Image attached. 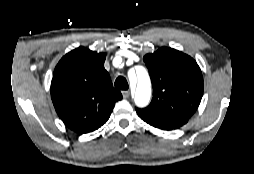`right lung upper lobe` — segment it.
<instances>
[{
	"mask_svg": "<svg viewBox=\"0 0 254 174\" xmlns=\"http://www.w3.org/2000/svg\"><path fill=\"white\" fill-rule=\"evenodd\" d=\"M106 55L79 47L57 64L51 82V98L61 120L84 134L96 130L110 117L122 99L104 68Z\"/></svg>",
	"mask_w": 254,
	"mask_h": 174,
	"instance_id": "1",
	"label": "right lung upper lobe"
}]
</instances>
